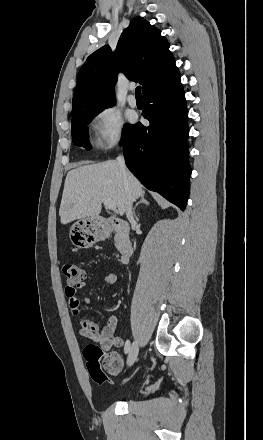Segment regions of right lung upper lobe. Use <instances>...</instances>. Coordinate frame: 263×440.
<instances>
[{"mask_svg":"<svg viewBox=\"0 0 263 440\" xmlns=\"http://www.w3.org/2000/svg\"><path fill=\"white\" fill-rule=\"evenodd\" d=\"M161 31L141 17L134 18L118 41L115 52L103 46L91 54L78 75L73 95L72 118L103 110L114 102L113 89L122 71L142 85L143 94L170 77L178 68Z\"/></svg>","mask_w":263,"mask_h":440,"instance_id":"obj_1","label":"right lung upper lobe"}]
</instances>
